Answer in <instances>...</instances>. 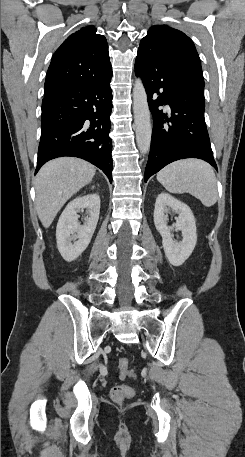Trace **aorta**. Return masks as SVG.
Wrapping results in <instances>:
<instances>
[{
  "label": "aorta",
  "mask_w": 245,
  "mask_h": 457,
  "mask_svg": "<svg viewBox=\"0 0 245 457\" xmlns=\"http://www.w3.org/2000/svg\"><path fill=\"white\" fill-rule=\"evenodd\" d=\"M133 112L136 142L142 154H146L151 145L152 127L147 94L141 78H137L133 87Z\"/></svg>",
  "instance_id": "1"
}]
</instances>
